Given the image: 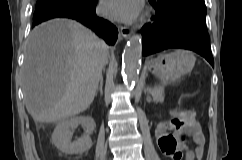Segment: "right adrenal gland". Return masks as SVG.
<instances>
[{
	"instance_id": "1",
	"label": "right adrenal gland",
	"mask_w": 242,
	"mask_h": 160,
	"mask_svg": "<svg viewBox=\"0 0 242 160\" xmlns=\"http://www.w3.org/2000/svg\"><path fill=\"white\" fill-rule=\"evenodd\" d=\"M98 91H100L101 95L103 94V77L100 78V84L95 93L96 96L98 94Z\"/></svg>"
}]
</instances>
